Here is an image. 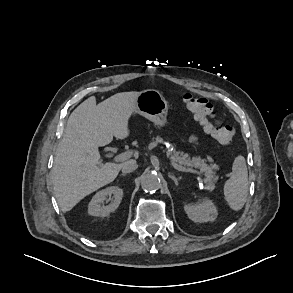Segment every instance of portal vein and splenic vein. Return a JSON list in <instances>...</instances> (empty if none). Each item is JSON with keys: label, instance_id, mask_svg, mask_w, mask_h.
<instances>
[{"label": "portal vein and splenic vein", "instance_id": "18ae733b", "mask_svg": "<svg viewBox=\"0 0 293 293\" xmlns=\"http://www.w3.org/2000/svg\"><path fill=\"white\" fill-rule=\"evenodd\" d=\"M132 155H133V151L130 150V151H126L124 153L117 155L114 159L117 162H121V161H125V160L129 159ZM170 163L178 171L197 174L196 170L182 167V166L178 165L177 163H174L173 161H170Z\"/></svg>", "mask_w": 293, "mask_h": 293}]
</instances>
